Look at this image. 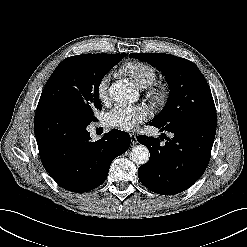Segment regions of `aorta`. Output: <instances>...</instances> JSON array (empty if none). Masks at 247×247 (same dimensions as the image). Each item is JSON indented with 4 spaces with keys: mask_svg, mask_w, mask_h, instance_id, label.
Returning a JSON list of instances; mask_svg holds the SVG:
<instances>
[{
    "mask_svg": "<svg viewBox=\"0 0 247 247\" xmlns=\"http://www.w3.org/2000/svg\"><path fill=\"white\" fill-rule=\"evenodd\" d=\"M109 95L114 101L123 104L135 102L139 97L136 90L122 82L113 83L109 88ZM130 156L134 163L144 165L148 162L150 153L144 145H137L132 148Z\"/></svg>",
    "mask_w": 247,
    "mask_h": 247,
    "instance_id": "obj_1",
    "label": "aorta"
}]
</instances>
